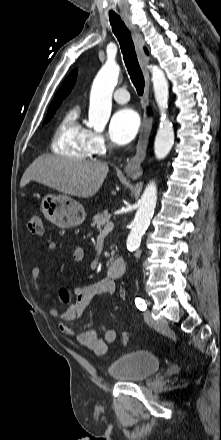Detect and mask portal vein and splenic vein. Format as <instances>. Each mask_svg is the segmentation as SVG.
<instances>
[{"instance_id": "18ae733b", "label": "portal vein and splenic vein", "mask_w": 221, "mask_h": 440, "mask_svg": "<svg viewBox=\"0 0 221 440\" xmlns=\"http://www.w3.org/2000/svg\"><path fill=\"white\" fill-rule=\"evenodd\" d=\"M114 228V224L112 222H109L105 225L103 232H109L112 231Z\"/></svg>"}]
</instances>
